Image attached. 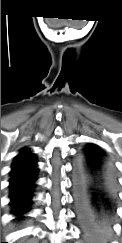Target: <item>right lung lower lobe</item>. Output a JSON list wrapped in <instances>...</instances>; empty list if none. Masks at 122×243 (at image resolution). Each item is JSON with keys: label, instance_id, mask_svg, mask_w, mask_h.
Instances as JSON below:
<instances>
[{"label": "right lung lower lobe", "instance_id": "right-lung-lower-lobe-1", "mask_svg": "<svg viewBox=\"0 0 122 243\" xmlns=\"http://www.w3.org/2000/svg\"><path fill=\"white\" fill-rule=\"evenodd\" d=\"M36 173L37 168L34 165L11 174L10 205L12 213L17 216V219H22L23 215L30 210L33 187L37 180Z\"/></svg>", "mask_w": 122, "mask_h": 243}]
</instances>
